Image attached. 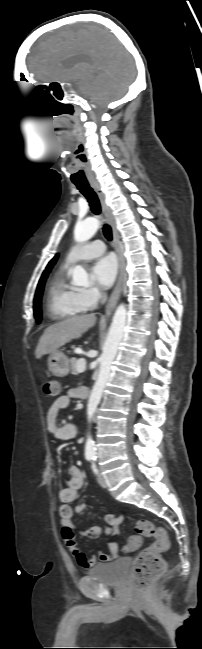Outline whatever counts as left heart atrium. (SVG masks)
I'll return each mask as SVG.
<instances>
[{
	"label": "left heart atrium",
	"mask_w": 202,
	"mask_h": 649,
	"mask_svg": "<svg viewBox=\"0 0 202 649\" xmlns=\"http://www.w3.org/2000/svg\"><path fill=\"white\" fill-rule=\"evenodd\" d=\"M117 271L118 264L115 256L107 254L95 261L92 267V276L97 284L106 288L114 282Z\"/></svg>",
	"instance_id": "39dd6f15"
}]
</instances>
